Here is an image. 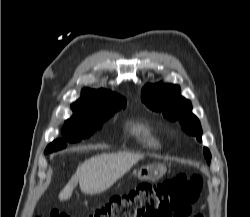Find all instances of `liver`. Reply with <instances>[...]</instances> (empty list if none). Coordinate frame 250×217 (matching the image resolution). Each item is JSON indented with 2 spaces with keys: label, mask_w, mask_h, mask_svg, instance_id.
<instances>
[{
  "label": "liver",
  "mask_w": 250,
  "mask_h": 217,
  "mask_svg": "<svg viewBox=\"0 0 250 217\" xmlns=\"http://www.w3.org/2000/svg\"><path fill=\"white\" fill-rule=\"evenodd\" d=\"M142 159L141 154L127 152L93 156L80 165L60 192L59 200L66 201L70 199L78 183L81 191L85 194L102 193Z\"/></svg>",
  "instance_id": "6515ba94"
}]
</instances>
